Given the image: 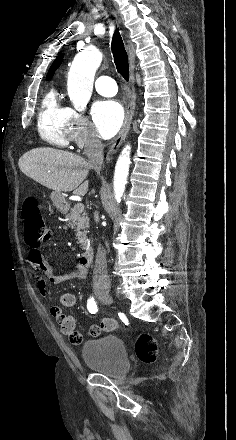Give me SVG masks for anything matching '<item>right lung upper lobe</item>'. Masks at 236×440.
Returning a JSON list of instances; mask_svg holds the SVG:
<instances>
[{
	"label": "right lung upper lobe",
	"mask_w": 236,
	"mask_h": 440,
	"mask_svg": "<svg viewBox=\"0 0 236 440\" xmlns=\"http://www.w3.org/2000/svg\"><path fill=\"white\" fill-rule=\"evenodd\" d=\"M62 59H63V54H60V55L55 59V61L53 62L52 66L50 67V69H49V71H48V73H47V76H46L47 79H49V78L53 75V73L55 72V70L60 66V64H61V62H62Z\"/></svg>",
	"instance_id": "obj_1"
}]
</instances>
